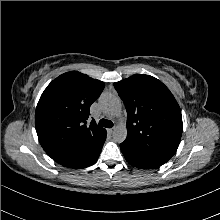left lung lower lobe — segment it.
<instances>
[{
  "label": "left lung lower lobe",
  "instance_id": "1",
  "mask_svg": "<svg viewBox=\"0 0 220 220\" xmlns=\"http://www.w3.org/2000/svg\"><path fill=\"white\" fill-rule=\"evenodd\" d=\"M120 149L127 162L138 168L153 169L165 163L163 160L154 158L123 143L120 144Z\"/></svg>",
  "mask_w": 220,
  "mask_h": 220
}]
</instances>
